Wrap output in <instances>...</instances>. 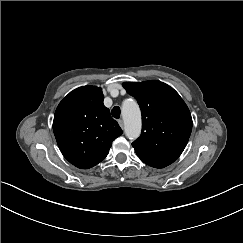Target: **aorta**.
Returning <instances> with one entry per match:
<instances>
[{"instance_id": "aorta-1", "label": "aorta", "mask_w": 243, "mask_h": 243, "mask_svg": "<svg viewBox=\"0 0 243 243\" xmlns=\"http://www.w3.org/2000/svg\"><path fill=\"white\" fill-rule=\"evenodd\" d=\"M125 133L129 138L139 136L141 131V113L135 101L125 100L121 111Z\"/></svg>"}]
</instances>
